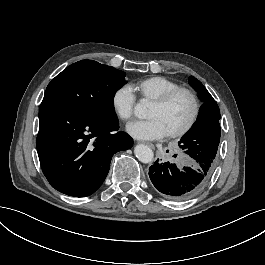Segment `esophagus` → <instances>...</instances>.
<instances>
[{"mask_svg":"<svg viewBox=\"0 0 265 265\" xmlns=\"http://www.w3.org/2000/svg\"><path fill=\"white\" fill-rule=\"evenodd\" d=\"M139 143L148 146V147L151 148L152 150L155 149V146H154L152 143L145 142V141H141V142H139Z\"/></svg>","mask_w":265,"mask_h":265,"instance_id":"34e87169","label":"esophagus"}]
</instances>
